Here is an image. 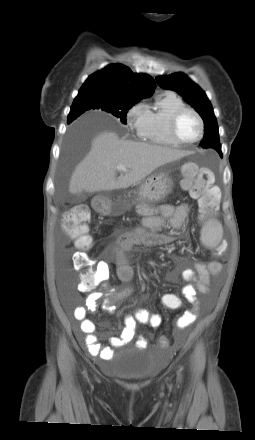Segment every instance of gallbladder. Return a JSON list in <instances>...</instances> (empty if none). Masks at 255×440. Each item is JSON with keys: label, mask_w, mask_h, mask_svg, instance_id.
I'll list each match as a JSON object with an SVG mask.
<instances>
[{"label": "gallbladder", "mask_w": 255, "mask_h": 440, "mask_svg": "<svg viewBox=\"0 0 255 440\" xmlns=\"http://www.w3.org/2000/svg\"><path fill=\"white\" fill-rule=\"evenodd\" d=\"M86 195H84L83 193H77L76 195H74L73 197V201L74 202H82L86 200Z\"/></svg>", "instance_id": "1"}]
</instances>
